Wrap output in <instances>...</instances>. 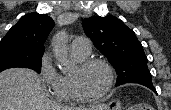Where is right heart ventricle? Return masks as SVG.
<instances>
[{"instance_id":"obj_1","label":"right heart ventricle","mask_w":171,"mask_h":110,"mask_svg":"<svg viewBox=\"0 0 171 110\" xmlns=\"http://www.w3.org/2000/svg\"><path fill=\"white\" fill-rule=\"evenodd\" d=\"M72 56L77 62H81L86 58V56L79 55L73 51ZM69 78V75H60L59 81L52 91L54 98L58 101L71 102L75 100L71 92Z\"/></svg>"}]
</instances>
